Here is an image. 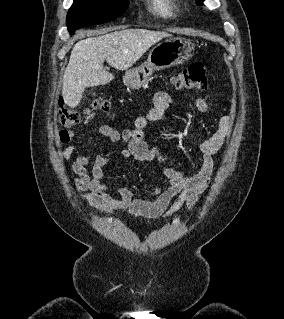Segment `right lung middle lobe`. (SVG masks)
I'll list each match as a JSON object with an SVG mask.
<instances>
[{"label":"right lung middle lobe","instance_id":"obj_1","mask_svg":"<svg viewBox=\"0 0 284 319\" xmlns=\"http://www.w3.org/2000/svg\"><path fill=\"white\" fill-rule=\"evenodd\" d=\"M128 8V0H74L66 25L70 33L76 29L104 23L119 17Z\"/></svg>","mask_w":284,"mask_h":319}]
</instances>
